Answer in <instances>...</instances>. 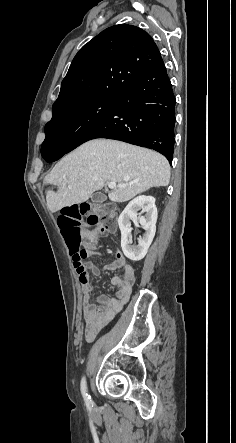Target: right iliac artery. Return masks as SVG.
Here are the masks:
<instances>
[{"instance_id":"1","label":"right iliac artery","mask_w":236,"mask_h":443,"mask_svg":"<svg viewBox=\"0 0 236 443\" xmlns=\"http://www.w3.org/2000/svg\"><path fill=\"white\" fill-rule=\"evenodd\" d=\"M81 392H82V395H83V398L85 400L86 405L87 406H92L93 402L91 400V397L87 393L85 377H83L82 380H81Z\"/></svg>"}]
</instances>
